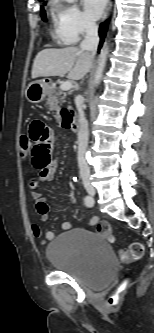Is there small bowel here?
<instances>
[{"label": "small bowel", "instance_id": "obj_1", "mask_svg": "<svg viewBox=\"0 0 154 333\" xmlns=\"http://www.w3.org/2000/svg\"><path fill=\"white\" fill-rule=\"evenodd\" d=\"M31 141V162L35 169L39 171L38 177L30 183L31 196L36 202V209L41 221L47 222L49 219V206L46 198L39 191V184L53 180L58 159L53 155L54 134L50 127L40 120H33L28 128V135ZM98 222V217H93L90 221L92 225ZM64 230L72 227V224L65 221L61 224ZM32 234L40 239L44 244L54 239L53 232L44 233L37 224L31 226Z\"/></svg>", "mask_w": 154, "mask_h": 333}]
</instances>
